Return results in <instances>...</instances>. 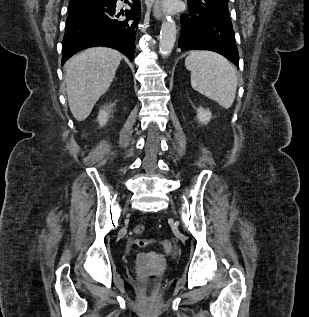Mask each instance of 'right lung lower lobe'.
<instances>
[{
	"mask_svg": "<svg viewBox=\"0 0 309 317\" xmlns=\"http://www.w3.org/2000/svg\"><path fill=\"white\" fill-rule=\"evenodd\" d=\"M117 0H70L67 28L63 38L62 64L80 50L104 46L126 55L135 53V32L140 21V2L116 10Z\"/></svg>",
	"mask_w": 309,
	"mask_h": 317,
	"instance_id": "1",
	"label": "right lung lower lobe"
}]
</instances>
